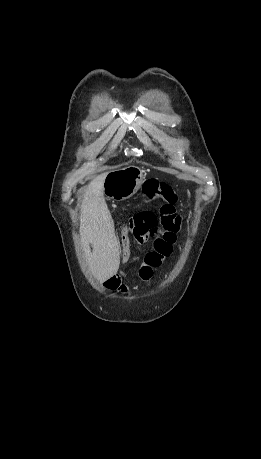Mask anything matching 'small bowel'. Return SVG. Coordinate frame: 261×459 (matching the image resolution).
I'll list each match as a JSON object with an SVG mask.
<instances>
[{
  "mask_svg": "<svg viewBox=\"0 0 261 459\" xmlns=\"http://www.w3.org/2000/svg\"><path fill=\"white\" fill-rule=\"evenodd\" d=\"M135 234L131 230L134 240L144 245L151 242L152 249L146 253L143 262L138 268V276L143 282H149L153 277L154 269L159 267L162 262L168 258L172 253V248L176 242L175 238H168L166 234ZM130 234V235H131ZM131 246V237H130ZM104 286L110 291H118L121 293L127 292V286L122 282L120 275H113L104 282Z\"/></svg>",
  "mask_w": 261,
  "mask_h": 459,
  "instance_id": "obj_1",
  "label": "small bowel"
}]
</instances>
